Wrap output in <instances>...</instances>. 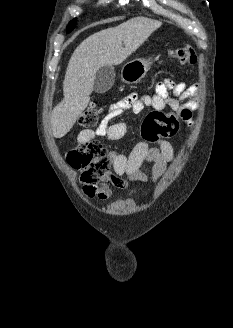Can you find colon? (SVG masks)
<instances>
[{
  "mask_svg": "<svg viewBox=\"0 0 233 328\" xmlns=\"http://www.w3.org/2000/svg\"><path fill=\"white\" fill-rule=\"evenodd\" d=\"M169 54L180 65L196 62L197 56L189 45L179 46ZM101 108L90 104L79 116V124L87 130L94 128L99 120ZM179 117L164 111H152L143 121L141 135L145 142L154 144L163 138L173 137L179 130ZM67 163L81 172L80 181L86 189L93 190L108 175L110 157L101 143L97 141L79 142L65 153Z\"/></svg>",
  "mask_w": 233,
  "mask_h": 328,
  "instance_id": "1",
  "label": "colon"
}]
</instances>
